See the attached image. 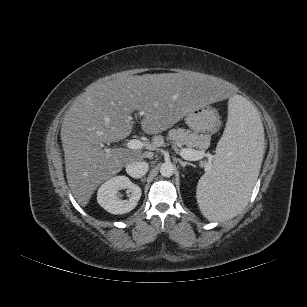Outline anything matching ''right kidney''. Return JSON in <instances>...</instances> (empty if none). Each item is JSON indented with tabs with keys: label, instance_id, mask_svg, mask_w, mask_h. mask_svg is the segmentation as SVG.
<instances>
[{
	"label": "right kidney",
	"instance_id": "1",
	"mask_svg": "<svg viewBox=\"0 0 307 307\" xmlns=\"http://www.w3.org/2000/svg\"><path fill=\"white\" fill-rule=\"evenodd\" d=\"M127 189L130 193L128 200H123L119 196V191ZM141 188L132 183L126 176L112 177L103 183L97 193V201L101 207L111 214H124L133 210L140 197Z\"/></svg>",
	"mask_w": 307,
	"mask_h": 307
}]
</instances>
